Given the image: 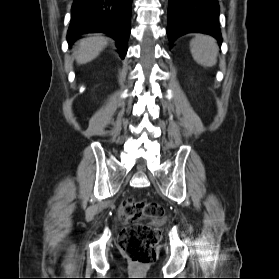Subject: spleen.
<instances>
[{"label":"spleen","mask_w":279,"mask_h":279,"mask_svg":"<svg viewBox=\"0 0 279 279\" xmlns=\"http://www.w3.org/2000/svg\"><path fill=\"white\" fill-rule=\"evenodd\" d=\"M190 51L193 59L204 67H213L217 63L219 47L213 37L196 35L190 42Z\"/></svg>","instance_id":"spleen-1"}]
</instances>
